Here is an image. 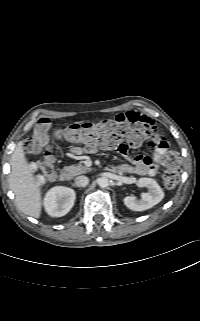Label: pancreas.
Instances as JSON below:
<instances>
[{"label": "pancreas", "instance_id": "1", "mask_svg": "<svg viewBox=\"0 0 200 321\" xmlns=\"http://www.w3.org/2000/svg\"><path fill=\"white\" fill-rule=\"evenodd\" d=\"M67 169L73 174V175H79V174H83V173H87L90 172L92 169L88 168L84 165H82L81 163L78 165H71L68 166Z\"/></svg>", "mask_w": 200, "mask_h": 321}]
</instances>
